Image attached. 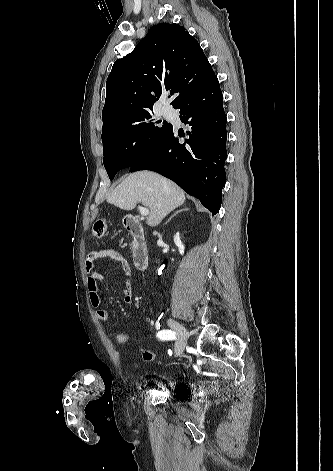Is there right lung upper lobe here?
<instances>
[{
    "mask_svg": "<svg viewBox=\"0 0 333 471\" xmlns=\"http://www.w3.org/2000/svg\"><path fill=\"white\" fill-rule=\"evenodd\" d=\"M213 73L199 43L179 24L160 23L125 57L118 59L106 82L103 131L114 123L152 110L166 90L181 100Z\"/></svg>",
    "mask_w": 333,
    "mask_h": 471,
    "instance_id": "right-lung-upper-lobe-1",
    "label": "right lung upper lobe"
}]
</instances>
